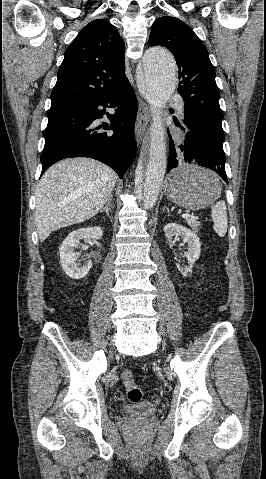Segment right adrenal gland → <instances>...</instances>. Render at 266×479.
<instances>
[{
	"label": "right adrenal gland",
	"mask_w": 266,
	"mask_h": 479,
	"mask_svg": "<svg viewBox=\"0 0 266 479\" xmlns=\"http://www.w3.org/2000/svg\"><path fill=\"white\" fill-rule=\"evenodd\" d=\"M111 202H112V197L108 199L106 206L100 212H105L109 216V211L111 210V206H112Z\"/></svg>",
	"instance_id": "2a0ac1e0"
}]
</instances>
